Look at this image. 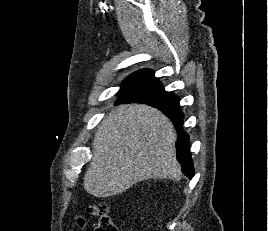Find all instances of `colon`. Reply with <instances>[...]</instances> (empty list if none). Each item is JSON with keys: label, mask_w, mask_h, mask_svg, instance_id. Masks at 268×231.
Listing matches in <instances>:
<instances>
[{"label": "colon", "mask_w": 268, "mask_h": 231, "mask_svg": "<svg viewBox=\"0 0 268 231\" xmlns=\"http://www.w3.org/2000/svg\"><path fill=\"white\" fill-rule=\"evenodd\" d=\"M93 215L96 217L95 231H118L116 224L108 214L107 205L105 203L94 207Z\"/></svg>", "instance_id": "1"}]
</instances>
